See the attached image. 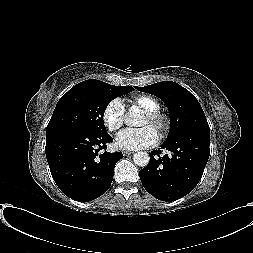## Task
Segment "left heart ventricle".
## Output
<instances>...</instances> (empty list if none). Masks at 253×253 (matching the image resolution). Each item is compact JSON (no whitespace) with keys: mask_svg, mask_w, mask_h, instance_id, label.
<instances>
[{"mask_svg":"<svg viewBox=\"0 0 253 253\" xmlns=\"http://www.w3.org/2000/svg\"><path fill=\"white\" fill-rule=\"evenodd\" d=\"M141 128H144V127H153L155 129V127L152 125L151 121L149 120V118L147 116L144 115L140 125H139Z\"/></svg>","mask_w":253,"mask_h":253,"instance_id":"b2bd125f","label":"left heart ventricle"}]
</instances>
